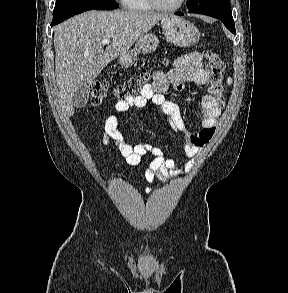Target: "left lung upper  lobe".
Wrapping results in <instances>:
<instances>
[{"label": "left lung upper lobe", "instance_id": "1", "mask_svg": "<svg viewBox=\"0 0 288 293\" xmlns=\"http://www.w3.org/2000/svg\"><path fill=\"white\" fill-rule=\"evenodd\" d=\"M189 11L233 20L229 0H187Z\"/></svg>", "mask_w": 288, "mask_h": 293}]
</instances>
